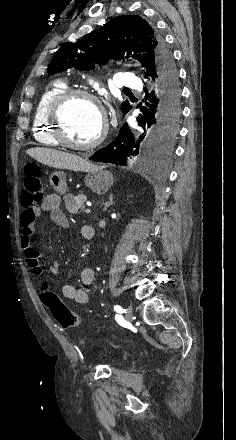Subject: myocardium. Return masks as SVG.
<instances>
[{"instance_id":"myocardium-1","label":"myocardium","mask_w":236,"mask_h":440,"mask_svg":"<svg viewBox=\"0 0 236 440\" xmlns=\"http://www.w3.org/2000/svg\"><path fill=\"white\" fill-rule=\"evenodd\" d=\"M74 98H83L92 102L103 113L101 102L97 96L91 92L78 89V88H66L58 93L50 102L47 110V121L50 125L51 134L57 143L65 148L72 150H91L99 146L105 139L108 131L107 121L102 117V126L98 135L90 142L84 144L74 143L67 138L64 130V123L62 112L65 106Z\"/></svg>"}]
</instances>
